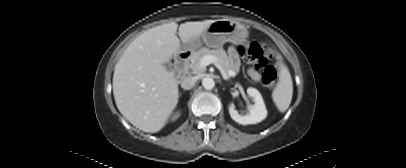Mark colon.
Here are the masks:
<instances>
[{
    "instance_id": "5ec220e1",
    "label": "colon",
    "mask_w": 406,
    "mask_h": 168,
    "mask_svg": "<svg viewBox=\"0 0 406 168\" xmlns=\"http://www.w3.org/2000/svg\"><path fill=\"white\" fill-rule=\"evenodd\" d=\"M241 57L255 68L262 70V82L266 87L272 88L277 78V69L269 63L270 52L262 43L245 41L239 48Z\"/></svg>"
}]
</instances>
